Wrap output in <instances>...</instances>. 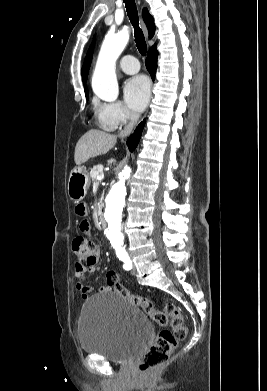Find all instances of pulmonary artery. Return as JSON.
Returning <instances> with one entry per match:
<instances>
[{"label":"pulmonary artery","mask_w":267,"mask_h":391,"mask_svg":"<svg viewBox=\"0 0 267 391\" xmlns=\"http://www.w3.org/2000/svg\"><path fill=\"white\" fill-rule=\"evenodd\" d=\"M119 68L126 74H135L140 70V64L136 57L125 55L119 60Z\"/></svg>","instance_id":"pulmonary-artery-1"}]
</instances>
